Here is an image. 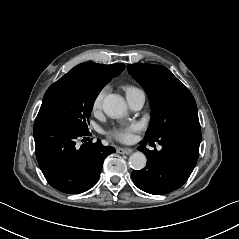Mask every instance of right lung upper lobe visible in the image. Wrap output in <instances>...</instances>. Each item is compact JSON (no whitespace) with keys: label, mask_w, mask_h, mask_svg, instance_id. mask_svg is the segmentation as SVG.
Listing matches in <instances>:
<instances>
[{"label":"right lung upper lobe","mask_w":239,"mask_h":239,"mask_svg":"<svg viewBox=\"0 0 239 239\" xmlns=\"http://www.w3.org/2000/svg\"><path fill=\"white\" fill-rule=\"evenodd\" d=\"M125 68L124 64L101 65L94 62H85L77 65L69 72L82 80H98L105 85L118 76Z\"/></svg>","instance_id":"right-lung-upper-lobe-1"}]
</instances>
